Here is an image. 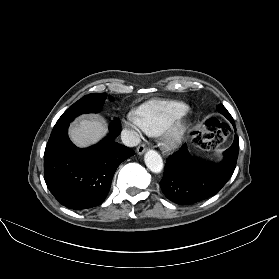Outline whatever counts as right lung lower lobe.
Returning <instances> with one entry per match:
<instances>
[{
  "instance_id": "obj_1",
  "label": "right lung lower lobe",
  "mask_w": 279,
  "mask_h": 279,
  "mask_svg": "<svg viewBox=\"0 0 279 279\" xmlns=\"http://www.w3.org/2000/svg\"><path fill=\"white\" fill-rule=\"evenodd\" d=\"M68 126L63 123L53 128L44 154L45 182L65 207H95L105 200L117 167L135 152L114 141L121 127L117 119L104 140L86 149L70 141Z\"/></svg>"
}]
</instances>
